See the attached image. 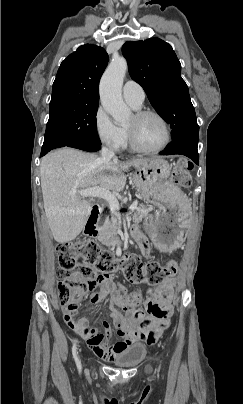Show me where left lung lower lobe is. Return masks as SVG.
<instances>
[{"label":"left lung lower lobe","instance_id":"0a47b994","mask_svg":"<svg viewBox=\"0 0 243 404\" xmlns=\"http://www.w3.org/2000/svg\"><path fill=\"white\" fill-rule=\"evenodd\" d=\"M198 137L183 136L175 138L162 152V154H180L189 157L195 164H199L197 150Z\"/></svg>","mask_w":243,"mask_h":404}]
</instances>
